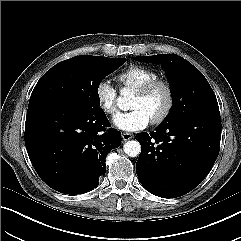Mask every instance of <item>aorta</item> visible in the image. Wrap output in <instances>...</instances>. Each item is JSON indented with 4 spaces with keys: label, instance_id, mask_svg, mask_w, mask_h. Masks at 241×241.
<instances>
[{
    "label": "aorta",
    "instance_id": "762f6f07",
    "mask_svg": "<svg viewBox=\"0 0 241 241\" xmlns=\"http://www.w3.org/2000/svg\"><path fill=\"white\" fill-rule=\"evenodd\" d=\"M121 95H123L124 97H120L118 99V106L123 109L126 107V101H127L126 100V96H127L126 89L121 91ZM123 150H124L125 154H127L129 157H137L141 152V145L136 140H130L124 144Z\"/></svg>",
    "mask_w": 241,
    "mask_h": 241
}]
</instances>
